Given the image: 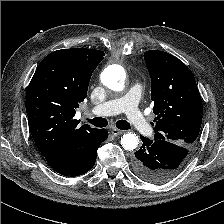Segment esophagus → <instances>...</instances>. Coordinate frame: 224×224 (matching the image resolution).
Returning <instances> with one entry per match:
<instances>
[{
	"mask_svg": "<svg viewBox=\"0 0 224 224\" xmlns=\"http://www.w3.org/2000/svg\"><path fill=\"white\" fill-rule=\"evenodd\" d=\"M111 133H112V135H114V136H118V135L123 134L124 131H122V130H118V129H116V128H113V129L111 130Z\"/></svg>",
	"mask_w": 224,
	"mask_h": 224,
	"instance_id": "esophagus-1",
	"label": "esophagus"
}]
</instances>
